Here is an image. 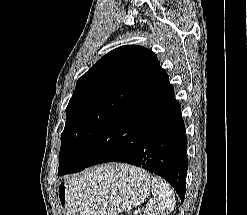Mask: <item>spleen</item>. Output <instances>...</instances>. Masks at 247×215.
I'll use <instances>...</instances> for the list:
<instances>
[{
    "instance_id": "obj_1",
    "label": "spleen",
    "mask_w": 247,
    "mask_h": 215,
    "mask_svg": "<svg viewBox=\"0 0 247 215\" xmlns=\"http://www.w3.org/2000/svg\"><path fill=\"white\" fill-rule=\"evenodd\" d=\"M151 186L153 198L146 205V215H168L176 203L173 189L158 176L152 179Z\"/></svg>"
}]
</instances>
